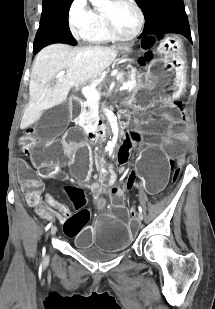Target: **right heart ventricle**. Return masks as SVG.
I'll return each mask as SVG.
<instances>
[{
  "mask_svg": "<svg viewBox=\"0 0 215 309\" xmlns=\"http://www.w3.org/2000/svg\"><path fill=\"white\" fill-rule=\"evenodd\" d=\"M92 24H95V21H92ZM85 34H89L92 42H107L108 32L105 31V27L101 25H94V27H85Z\"/></svg>",
  "mask_w": 215,
  "mask_h": 309,
  "instance_id": "obj_1",
  "label": "right heart ventricle"
}]
</instances>
